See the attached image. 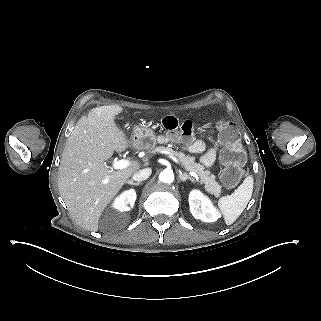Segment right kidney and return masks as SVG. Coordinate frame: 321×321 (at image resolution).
<instances>
[{
  "label": "right kidney",
  "instance_id": "ca27d5eb",
  "mask_svg": "<svg viewBox=\"0 0 321 321\" xmlns=\"http://www.w3.org/2000/svg\"><path fill=\"white\" fill-rule=\"evenodd\" d=\"M135 200V190L129 189L115 198L112 207L120 212L129 211L134 206Z\"/></svg>",
  "mask_w": 321,
  "mask_h": 321
}]
</instances>
